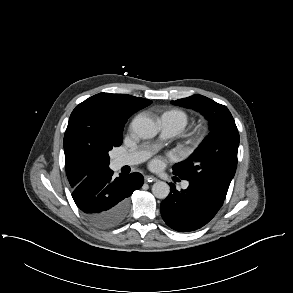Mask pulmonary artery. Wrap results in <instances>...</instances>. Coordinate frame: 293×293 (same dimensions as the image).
<instances>
[{"mask_svg":"<svg viewBox=\"0 0 293 293\" xmlns=\"http://www.w3.org/2000/svg\"><path fill=\"white\" fill-rule=\"evenodd\" d=\"M162 133L160 139L156 142H146L136 148L131 149L124 155L117 156L113 160L115 168L125 165H135L149 158L161 145V142L169 137L175 136L181 132L180 126L177 124L176 117L171 113H164L160 118ZM189 183L184 181L182 188L186 189Z\"/></svg>","mask_w":293,"mask_h":293,"instance_id":"obj_1","label":"pulmonary artery"}]
</instances>
